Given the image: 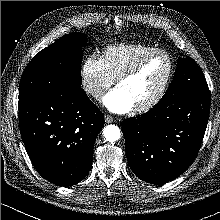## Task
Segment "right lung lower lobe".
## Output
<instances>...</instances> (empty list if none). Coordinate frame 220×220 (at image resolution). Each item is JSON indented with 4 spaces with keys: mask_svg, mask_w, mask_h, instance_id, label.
<instances>
[{
    "mask_svg": "<svg viewBox=\"0 0 220 220\" xmlns=\"http://www.w3.org/2000/svg\"><path fill=\"white\" fill-rule=\"evenodd\" d=\"M18 107L21 137L37 172L59 186L79 183L91 168L103 113L84 91L21 99Z\"/></svg>",
    "mask_w": 220,
    "mask_h": 220,
    "instance_id": "98d812e1",
    "label": "right lung lower lobe"
}]
</instances>
